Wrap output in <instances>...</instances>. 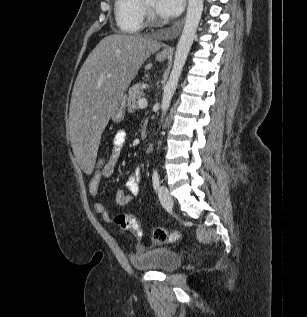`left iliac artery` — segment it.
<instances>
[{
  "label": "left iliac artery",
  "mask_w": 307,
  "mask_h": 317,
  "mask_svg": "<svg viewBox=\"0 0 307 317\" xmlns=\"http://www.w3.org/2000/svg\"><path fill=\"white\" fill-rule=\"evenodd\" d=\"M152 182H153V187H154L155 191L158 190L159 185H160V177H159L157 169H155L153 171Z\"/></svg>",
  "instance_id": "obj_1"
}]
</instances>
